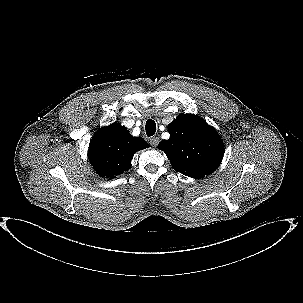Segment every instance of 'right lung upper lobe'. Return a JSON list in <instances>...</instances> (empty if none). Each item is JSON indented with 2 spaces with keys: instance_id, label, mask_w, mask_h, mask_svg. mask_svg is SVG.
<instances>
[{
  "instance_id": "1",
  "label": "right lung upper lobe",
  "mask_w": 303,
  "mask_h": 303,
  "mask_svg": "<svg viewBox=\"0 0 303 303\" xmlns=\"http://www.w3.org/2000/svg\"><path fill=\"white\" fill-rule=\"evenodd\" d=\"M148 147L143 138L133 137L126 127L113 123L95 133L88 157L96 173L111 179L129 170L134 154Z\"/></svg>"
}]
</instances>
